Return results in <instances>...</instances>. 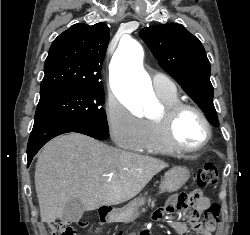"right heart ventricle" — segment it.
<instances>
[{
	"instance_id": "obj_1",
	"label": "right heart ventricle",
	"mask_w": 250,
	"mask_h": 235,
	"mask_svg": "<svg viewBox=\"0 0 250 235\" xmlns=\"http://www.w3.org/2000/svg\"><path fill=\"white\" fill-rule=\"evenodd\" d=\"M156 95L164 106H170L179 101L176 92L169 95L156 93ZM138 151L162 154L175 152V150H173L165 141L162 134L161 124L156 119H148L145 121V138Z\"/></svg>"
}]
</instances>
